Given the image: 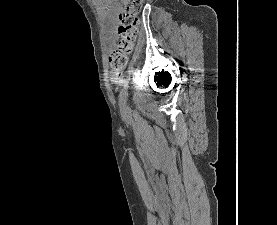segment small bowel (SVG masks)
I'll return each instance as SVG.
<instances>
[{
	"instance_id": "1",
	"label": "small bowel",
	"mask_w": 277,
	"mask_h": 225,
	"mask_svg": "<svg viewBox=\"0 0 277 225\" xmlns=\"http://www.w3.org/2000/svg\"><path fill=\"white\" fill-rule=\"evenodd\" d=\"M121 6L120 5H112V6H109V10H108V13L106 14V16L109 18V19H114L118 16L119 14V10H120Z\"/></svg>"
}]
</instances>
